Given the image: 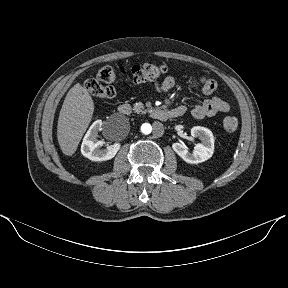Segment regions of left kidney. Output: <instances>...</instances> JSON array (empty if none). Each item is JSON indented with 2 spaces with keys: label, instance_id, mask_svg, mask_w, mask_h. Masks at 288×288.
Masks as SVG:
<instances>
[{
  "label": "left kidney",
  "instance_id": "1",
  "mask_svg": "<svg viewBox=\"0 0 288 288\" xmlns=\"http://www.w3.org/2000/svg\"><path fill=\"white\" fill-rule=\"evenodd\" d=\"M192 137H198L201 143L196 144L190 153L184 143H173V150L187 163L198 164L212 157L214 152V136L205 127L195 126L191 129Z\"/></svg>",
  "mask_w": 288,
  "mask_h": 288
}]
</instances>
